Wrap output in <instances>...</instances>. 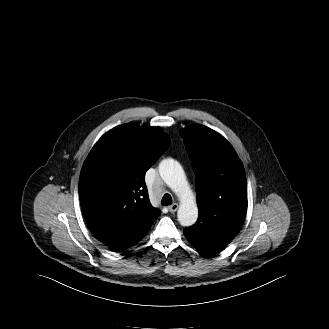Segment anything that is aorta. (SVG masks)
Segmentation results:
<instances>
[{"label":"aorta","instance_id":"aorta-1","mask_svg":"<svg viewBox=\"0 0 329 329\" xmlns=\"http://www.w3.org/2000/svg\"><path fill=\"white\" fill-rule=\"evenodd\" d=\"M159 173L180 200L177 212L179 223L185 227L192 226L198 218V207L183 168L174 159H164L159 164Z\"/></svg>","mask_w":329,"mask_h":329}]
</instances>
